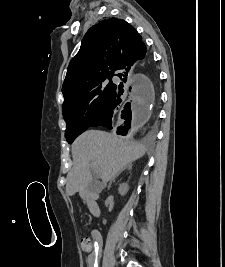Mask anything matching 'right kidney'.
Instances as JSON below:
<instances>
[{
	"instance_id": "1",
	"label": "right kidney",
	"mask_w": 225,
	"mask_h": 267,
	"mask_svg": "<svg viewBox=\"0 0 225 267\" xmlns=\"http://www.w3.org/2000/svg\"><path fill=\"white\" fill-rule=\"evenodd\" d=\"M128 189H129L128 184L122 183L119 185L118 192L121 196H124L127 193Z\"/></svg>"
}]
</instances>
